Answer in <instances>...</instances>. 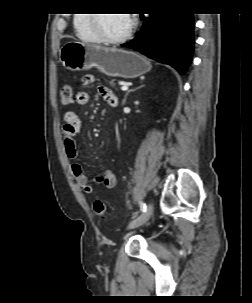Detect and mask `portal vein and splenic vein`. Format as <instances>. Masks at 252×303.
<instances>
[{
    "label": "portal vein and splenic vein",
    "mask_w": 252,
    "mask_h": 303,
    "mask_svg": "<svg viewBox=\"0 0 252 303\" xmlns=\"http://www.w3.org/2000/svg\"><path fill=\"white\" fill-rule=\"evenodd\" d=\"M121 90H122V91H127V90H128V86H122V87H121Z\"/></svg>",
    "instance_id": "obj_1"
}]
</instances>
